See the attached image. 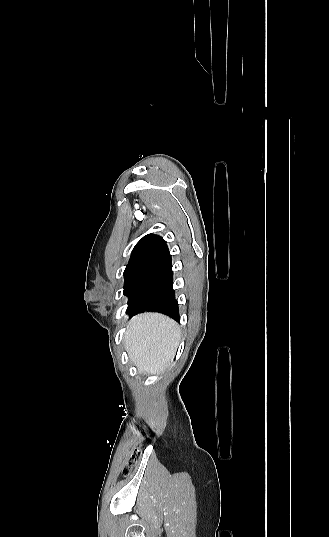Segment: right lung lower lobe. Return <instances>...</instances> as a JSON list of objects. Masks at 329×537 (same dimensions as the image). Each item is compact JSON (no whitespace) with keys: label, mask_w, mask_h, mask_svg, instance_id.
<instances>
[{"label":"right lung lower lobe","mask_w":329,"mask_h":537,"mask_svg":"<svg viewBox=\"0 0 329 537\" xmlns=\"http://www.w3.org/2000/svg\"><path fill=\"white\" fill-rule=\"evenodd\" d=\"M173 271L170 253L150 263L129 289L127 313L130 316L144 311H158L179 321L178 304L173 290Z\"/></svg>","instance_id":"1"}]
</instances>
